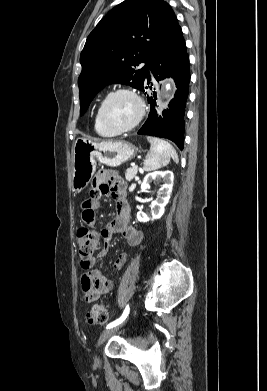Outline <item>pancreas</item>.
I'll use <instances>...</instances> for the list:
<instances>
[{
	"mask_svg": "<svg viewBox=\"0 0 267 391\" xmlns=\"http://www.w3.org/2000/svg\"><path fill=\"white\" fill-rule=\"evenodd\" d=\"M137 170H138L137 166H131L130 168H128L125 172L126 180L132 181V179L136 177Z\"/></svg>",
	"mask_w": 267,
	"mask_h": 391,
	"instance_id": "1",
	"label": "pancreas"
}]
</instances>
